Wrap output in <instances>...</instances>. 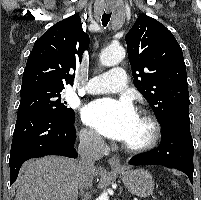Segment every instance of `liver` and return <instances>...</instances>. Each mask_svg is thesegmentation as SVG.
Wrapping results in <instances>:
<instances>
[{
	"instance_id": "6515ba94",
	"label": "liver",
	"mask_w": 201,
	"mask_h": 200,
	"mask_svg": "<svg viewBox=\"0 0 201 200\" xmlns=\"http://www.w3.org/2000/svg\"><path fill=\"white\" fill-rule=\"evenodd\" d=\"M96 174L94 170L91 176ZM78 180V164L72 159L30 160L21 168L15 200H77Z\"/></svg>"
}]
</instances>
